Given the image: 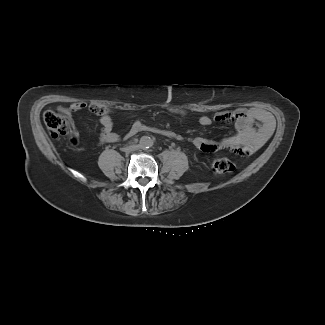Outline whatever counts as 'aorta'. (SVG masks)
<instances>
[{"mask_svg": "<svg viewBox=\"0 0 325 325\" xmlns=\"http://www.w3.org/2000/svg\"><path fill=\"white\" fill-rule=\"evenodd\" d=\"M139 144H140V147H141L142 149H148V148L152 147V145H153V140H152V138H150L149 136H142V137L140 138V142H139Z\"/></svg>", "mask_w": 325, "mask_h": 325, "instance_id": "1", "label": "aorta"}]
</instances>
